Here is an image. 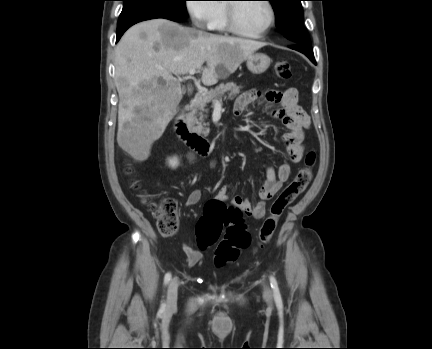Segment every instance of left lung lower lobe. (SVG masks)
<instances>
[{"instance_id": "0a47b994", "label": "left lung lower lobe", "mask_w": 432, "mask_h": 349, "mask_svg": "<svg viewBox=\"0 0 432 349\" xmlns=\"http://www.w3.org/2000/svg\"><path fill=\"white\" fill-rule=\"evenodd\" d=\"M290 48L304 53L314 64H316L311 44H294Z\"/></svg>"}]
</instances>
